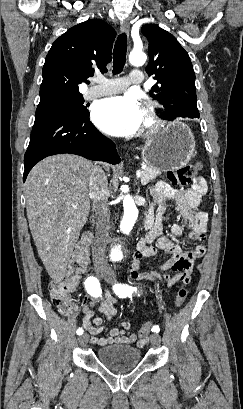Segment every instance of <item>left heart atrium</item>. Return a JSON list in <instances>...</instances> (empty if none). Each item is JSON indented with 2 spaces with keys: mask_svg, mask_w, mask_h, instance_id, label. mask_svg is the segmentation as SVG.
Wrapping results in <instances>:
<instances>
[{
  "mask_svg": "<svg viewBox=\"0 0 243 409\" xmlns=\"http://www.w3.org/2000/svg\"><path fill=\"white\" fill-rule=\"evenodd\" d=\"M94 123L113 136H129L144 124L145 112L134 94L103 99L93 110Z\"/></svg>",
  "mask_w": 243,
  "mask_h": 409,
  "instance_id": "left-heart-atrium-1",
  "label": "left heart atrium"
}]
</instances>
